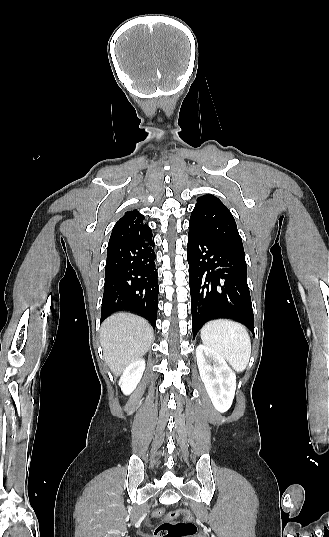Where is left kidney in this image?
<instances>
[{
	"label": "left kidney",
	"instance_id": "1",
	"mask_svg": "<svg viewBox=\"0 0 329 537\" xmlns=\"http://www.w3.org/2000/svg\"><path fill=\"white\" fill-rule=\"evenodd\" d=\"M196 357L200 377L214 408L220 413L226 412L235 395V373L220 354L204 345H198Z\"/></svg>",
	"mask_w": 329,
	"mask_h": 537
}]
</instances>
